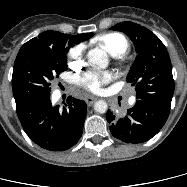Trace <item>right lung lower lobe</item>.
<instances>
[{
	"label": "right lung lower lobe",
	"mask_w": 187,
	"mask_h": 187,
	"mask_svg": "<svg viewBox=\"0 0 187 187\" xmlns=\"http://www.w3.org/2000/svg\"><path fill=\"white\" fill-rule=\"evenodd\" d=\"M17 115L29 138L49 151H64L80 139L87 105L69 96L65 106H53L50 94L16 105Z\"/></svg>",
	"instance_id": "obj_1"
}]
</instances>
